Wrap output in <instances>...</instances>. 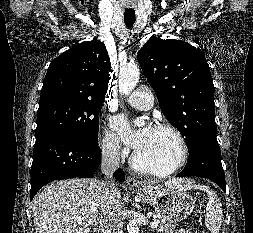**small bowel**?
<instances>
[{"label":"small bowel","instance_id":"obj_1","mask_svg":"<svg viewBox=\"0 0 253 233\" xmlns=\"http://www.w3.org/2000/svg\"><path fill=\"white\" fill-rule=\"evenodd\" d=\"M176 233H190L189 231L185 230V229H182V230H179L178 232Z\"/></svg>","mask_w":253,"mask_h":233}]
</instances>
